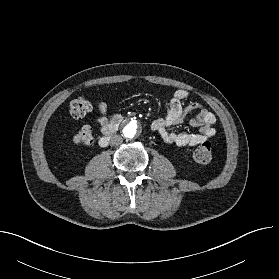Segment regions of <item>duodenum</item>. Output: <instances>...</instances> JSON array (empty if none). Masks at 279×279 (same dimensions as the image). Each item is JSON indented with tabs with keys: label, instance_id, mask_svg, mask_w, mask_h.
Returning <instances> with one entry per match:
<instances>
[{
	"label": "duodenum",
	"instance_id": "obj_1",
	"mask_svg": "<svg viewBox=\"0 0 279 279\" xmlns=\"http://www.w3.org/2000/svg\"><path fill=\"white\" fill-rule=\"evenodd\" d=\"M122 120L123 119L121 116H116L113 118L112 122L107 128L106 133L99 140L100 146L106 147L109 144L111 136L118 130Z\"/></svg>",
	"mask_w": 279,
	"mask_h": 279
}]
</instances>
